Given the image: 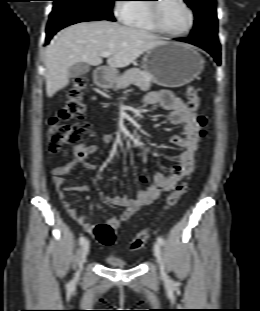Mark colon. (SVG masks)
<instances>
[{"label": "colon", "mask_w": 260, "mask_h": 311, "mask_svg": "<svg viewBox=\"0 0 260 311\" xmlns=\"http://www.w3.org/2000/svg\"><path fill=\"white\" fill-rule=\"evenodd\" d=\"M87 87L85 77H77L73 85L67 92V101L61 108L58 115L52 117L48 122V144L47 149L50 153H58L66 145L77 144L81 142L89 130L87 122H81L85 112L83 103V94ZM187 107L191 112H196L199 107V97L194 87L186 89ZM199 125V138L204 140L207 131V118L203 114L197 115ZM188 190V182H181L177 187L167 195L165 207L171 208L183 197ZM93 234L97 241L105 246H111L115 243V228L108 222L99 223L95 226ZM150 238L148 229L141 230L130 242L129 249L136 251L143 248Z\"/></svg>", "instance_id": "colon-1"}]
</instances>
